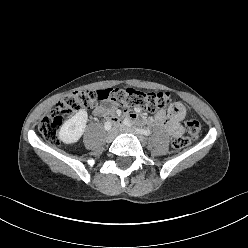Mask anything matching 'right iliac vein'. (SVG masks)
I'll list each match as a JSON object with an SVG mask.
<instances>
[{
  "label": "right iliac vein",
  "instance_id": "right-iliac-vein-1",
  "mask_svg": "<svg viewBox=\"0 0 248 248\" xmlns=\"http://www.w3.org/2000/svg\"><path fill=\"white\" fill-rule=\"evenodd\" d=\"M116 136V131L115 129H112L110 132L107 133L105 139H106V142L110 143L113 141V139L115 138Z\"/></svg>",
  "mask_w": 248,
  "mask_h": 248
}]
</instances>
